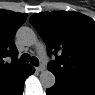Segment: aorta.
Wrapping results in <instances>:
<instances>
[{
    "label": "aorta",
    "mask_w": 95,
    "mask_h": 95,
    "mask_svg": "<svg viewBox=\"0 0 95 95\" xmlns=\"http://www.w3.org/2000/svg\"><path fill=\"white\" fill-rule=\"evenodd\" d=\"M17 39L25 46H32L37 41V36L33 29L29 27H21L16 34ZM40 83L43 88H51L55 84V76L49 70H44L40 73Z\"/></svg>",
    "instance_id": "aorta-1"
}]
</instances>
